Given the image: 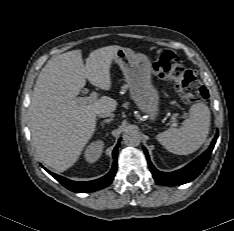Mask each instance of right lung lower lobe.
<instances>
[{
    "label": "right lung lower lobe",
    "instance_id": "1",
    "mask_svg": "<svg viewBox=\"0 0 234 231\" xmlns=\"http://www.w3.org/2000/svg\"><path fill=\"white\" fill-rule=\"evenodd\" d=\"M119 147V144L116 145V147L114 148L113 151V158H114V162H113V167L110 170V172L108 174H106L105 176L93 180V181H87V182H76V181H72L69 179H66L62 176H59L57 174H54L48 170H46L50 175H52L58 182H60L64 187H66L67 189L76 192V193H85V192H93L96 190H100L102 188L107 187L114 179V176L116 174V170H117V149Z\"/></svg>",
    "mask_w": 234,
    "mask_h": 231
}]
</instances>
